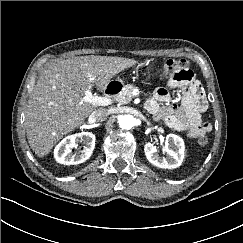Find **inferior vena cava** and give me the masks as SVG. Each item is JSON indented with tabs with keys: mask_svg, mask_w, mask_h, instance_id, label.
I'll list each match as a JSON object with an SVG mask.
<instances>
[{
	"mask_svg": "<svg viewBox=\"0 0 243 243\" xmlns=\"http://www.w3.org/2000/svg\"><path fill=\"white\" fill-rule=\"evenodd\" d=\"M108 115L109 114H108L107 109L101 107V108L95 109L91 113L90 117L93 118L96 122H103L107 119Z\"/></svg>",
	"mask_w": 243,
	"mask_h": 243,
	"instance_id": "602c4592",
	"label": "inferior vena cava"
}]
</instances>
